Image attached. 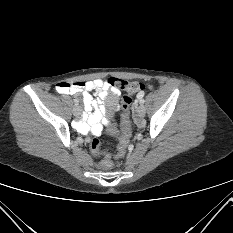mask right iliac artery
<instances>
[{"label": "right iliac artery", "mask_w": 233, "mask_h": 233, "mask_svg": "<svg viewBox=\"0 0 233 233\" xmlns=\"http://www.w3.org/2000/svg\"><path fill=\"white\" fill-rule=\"evenodd\" d=\"M75 105H78L79 101L77 99H74Z\"/></svg>", "instance_id": "1"}]
</instances>
